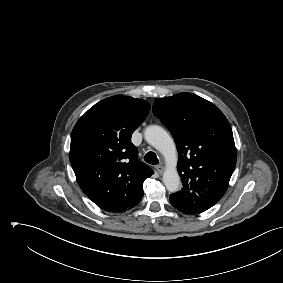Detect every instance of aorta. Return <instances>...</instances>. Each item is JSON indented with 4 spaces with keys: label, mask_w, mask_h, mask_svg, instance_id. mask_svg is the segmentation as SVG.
Here are the masks:
<instances>
[{
    "label": "aorta",
    "mask_w": 283,
    "mask_h": 283,
    "mask_svg": "<svg viewBox=\"0 0 283 283\" xmlns=\"http://www.w3.org/2000/svg\"><path fill=\"white\" fill-rule=\"evenodd\" d=\"M145 140L157 149L166 160V170L163 183L169 192H176L180 188V177L176 169L177 150L172 137L165 129L158 125L148 126L144 131Z\"/></svg>",
    "instance_id": "aorta-1"
}]
</instances>
